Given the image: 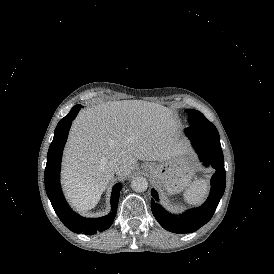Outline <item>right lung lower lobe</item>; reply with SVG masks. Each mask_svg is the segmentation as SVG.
<instances>
[{"instance_id": "1", "label": "right lung lower lobe", "mask_w": 274, "mask_h": 274, "mask_svg": "<svg viewBox=\"0 0 274 274\" xmlns=\"http://www.w3.org/2000/svg\"><path fill=\"white\" fill-rule=\"evenodd\" d=\"M81 107V105H75L69 114L59 121L55 129L54 138L47 155L45 188L56 214L67 228L75 233L93 235L106 230L113 223L117 212L121 185L117 184L113 188L111 196L112 212L102 218H83L74 213L66 203L59 182L60 163L72 120L75 119Z\"/></svg>"}]
</instances>
